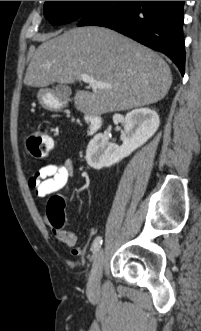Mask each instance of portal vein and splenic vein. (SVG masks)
<instances>
[{"label": "portal vein and splenic vein", "mask_w": 201, "mask_h": 331, "mask_svg": "<svg viewBox=\"0 0 201 331\" xmlns=\"http://www.w3.org/2000/svg\"><path fill=\"white\" fill-rule=\"evenodd\" d=\"M80 80L83 81L84 83L88 84L90 87L93 89H106V88H111L112 86L106 83L99 82L95 80L94 78H91L87 74H81L80 75ZM117 86V85H116Z\"/></svg>", "instance_id": "1"}]
</instances>
